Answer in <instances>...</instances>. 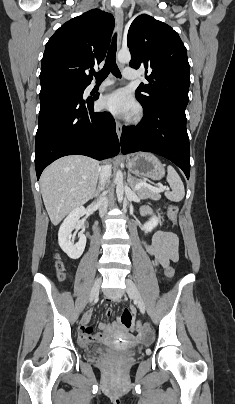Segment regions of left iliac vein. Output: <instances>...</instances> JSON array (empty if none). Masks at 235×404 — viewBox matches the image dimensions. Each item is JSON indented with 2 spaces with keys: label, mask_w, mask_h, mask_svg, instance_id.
Wrapping results in <instances>:
<instances>
[{
  "label": "left iliac vein",
  "mask_w": 235,
  "mask_h": 404,
  "mask_svg": "<svg viewBox=\"0 0 235 404\" xmlns=\"http://www.w3.org/2000/svg\"><path fill=\"white\" fill-rule=\"evenodd\" d=\"M125 283L128 295L134 300L141 313H145V303L135 283L129 278L126 279Z\"/></svg>",
  "instance_id": "obj_1"
}]
</instances>
